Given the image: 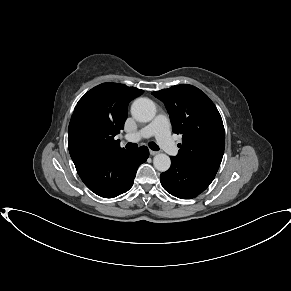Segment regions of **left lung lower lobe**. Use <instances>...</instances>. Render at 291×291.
Segmentation results:
<instances>
[{
    "mask_svg": "<svg viewBox=\"0 0 291 291\" xmlns=\"http://www.w3.org/2000/svg\"><path fill=\"white\" fill-rule=\"evenodd\" d=\"M171 167L160 176L161 184L171 195L180 199H192L202 193L213 181V175L197 172L175 157Z\"/></svg>",
    "mask_w": 291,
    "mask_h": 291,
    "instance_id": "1",
    "label": "left lung lower lobe"
}]
</instances>
